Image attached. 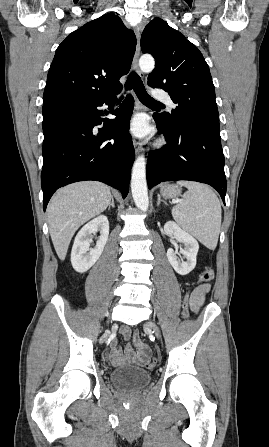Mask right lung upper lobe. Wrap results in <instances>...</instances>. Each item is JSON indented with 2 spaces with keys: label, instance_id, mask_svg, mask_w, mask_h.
I'll list each match as a JSON object with an SVG mask.
<instances>
[{
  "label": "right lung upper lobe",
  "instance_id": "cb5924a9",
  "mask_svg": "<svg viewBox=\"0 0 269 447\" xmlns=\"http://www.w3.org/2000/svg\"><path fill=\"white\" fill-rule=\"evenodd\" d=\"M136 37L113 13L85 24L57 48L43 103L101 95L122 87L131 67Z\"/></svg>",
  "mask_w": 269,
  "mask_h": 447
}]
</instances>
